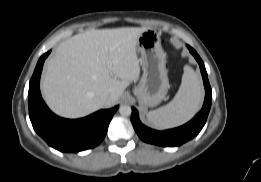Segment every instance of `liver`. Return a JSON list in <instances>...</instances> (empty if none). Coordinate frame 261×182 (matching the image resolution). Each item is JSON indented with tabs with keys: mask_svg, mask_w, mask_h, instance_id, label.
<instances>
[{
	"mask_svg": "<svg viewBox=\"0 0 261 182\" xmlns=\"http://www.w3.org/2000/svg\"><path fill=\"white\" fill-rule=\"evenodd\" d=\"M146 29H92L62 42L41 82L48 106L60 116L79 118L115 105L140 74L136 45Z\"/></svg>",
	"mask_w": 261,
	"mask_h": 182,
	"instance_id": "1",
	"label": "liver"
}]
</instances>
